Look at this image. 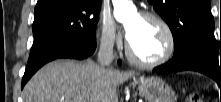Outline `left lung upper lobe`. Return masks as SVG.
Here are the masks:
<instances>
[{"label":"left lung upper lobe","instance_id":"obj_1","mask_svg":"<svg viewBox=\"0 0 221 102\" xmlns=\"http://www.w3.org/2000/svg\"><path fill=\"white\" fill-rule=\"evenodd\" d=\"M167 22L174 38V54L196 48L221 61L214 37V19L209 0H148Z\"/></svg>","mask_w":221,"mask_h":102}]
</instances>
